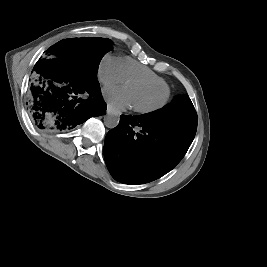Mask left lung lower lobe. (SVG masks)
Here are the masks:
<instances>
[{
  "instance_id": "0a47b994",
  "label": "left lung lower lobe",
  "mask_w": 267,
  "mask_h": 267,
  "mask_svg": "<svg viewBox=\"0 0 267 267\" xmlns=\"http://www.w3.org/2000/svg\"><path fill=\"white\" fill-rule=\"evenodd\" d=\"M140 129L135 132V128ZM197 125L175 119L120 116L104 143L114 179L125 184L151 182L171 171L191 145Z\"/></svg>"
}]
</instances>
